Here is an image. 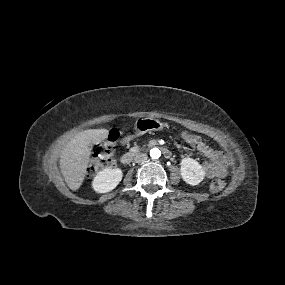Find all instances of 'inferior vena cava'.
<instances>
[{"label":"inferior vena cava","mask_w":285,"mask_h":285,"mask_svg":"<svg viewBox=\"0 0 285 285\" xmlns=\"http://www.w3.org/2000/svg\"><path fill=\"white\" fill-rule=\"evenodd\" d=\"M148 159V156L146 153H138L135 158H134V161L136 163H143L145 162L146 160Z\"/></svg>","instance_id":"602c4592"}]
</instances>
